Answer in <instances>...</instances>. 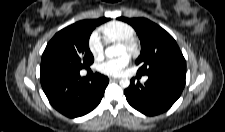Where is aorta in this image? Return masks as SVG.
Segmentation results:
<instances>
[{"mask_svg":"<svg viewBox=\"0 0 225 132\" xmlns=\"http://www.w3.org/2000/svg\"><path fill=\"white\" fill-rule=\"evenodd\" d=\"M121 54H122V46L118 45V44H113V45L107 47L105 50V55L108 58L117 57V56H120ZM129 85H130L129 79L124 78V79L120 80V86L122 88H128Z\"/></svg>","mask_w":225,"mask_h":132,"instance_id":"762f6f07","label":"aorta"}]
</instances>
